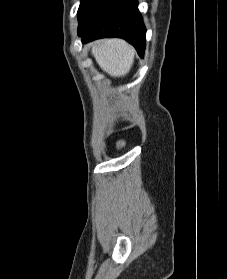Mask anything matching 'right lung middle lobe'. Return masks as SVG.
<instances>
[{"label":"right lung middle lobe","mask_w":227,"mask_h":279,"mask_svg":"<svg viewBox=\"0 0 227 279\" xmlns=\"http://www.w3.org/2000/svg\"><path fill=\"white\" fill-rule=\"evenodd\" d=\"M92 0H81L79 10H78V18L83 14L85 9L88 7V5L91 3Z\"/></svg>","instance_id":"dd1d6c3e"}]
</instances>
